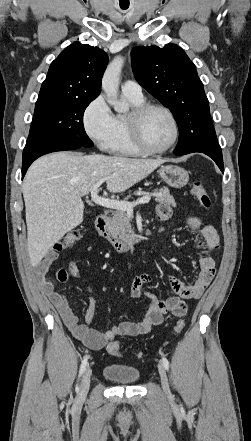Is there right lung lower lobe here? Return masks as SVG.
<instances>
[{
    "instance_id": "right-lung-lower-lobe-1",
    "label": "right lung lower lobe",
    "mask_w": 251,
    "mask_h": 441,
    "mask_svg": "<svg viewBox=\"0 0 251 441\" xmlns=\"http://www.w3.org/2000/svg\"><path fill=\"white\" fill-rule=\"evenodd\" d=\"M83 148L81 146H72L57 143L54 141L31 137L28 138L25 148L23 150V161H22V178L24 177L28 167L40 156L56 152Z\"/></svg>"
}]
</instances>
